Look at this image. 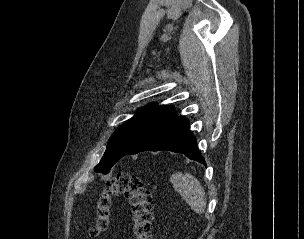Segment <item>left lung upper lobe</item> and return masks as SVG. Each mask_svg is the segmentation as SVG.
Wrapping results in <instances>:
<instances>
[{"label": "left lung upper lobe", "mask_w": 304, "mask_h": 239, "mask_svg": "<svg viewBox=\"0 0 304 239\" xmlns=\"http://www.w3.org/2000/svg\"><path fill=\"white\" fill-rule=\"evenodd\" d=\"M153 105L154 103H151L146 109H139L113 133L101 161L94 168L96 172L109 173L112 166L137 143L177 117L172 107Z\"/></svg>", "instance_id": "1"}]
</instances>
